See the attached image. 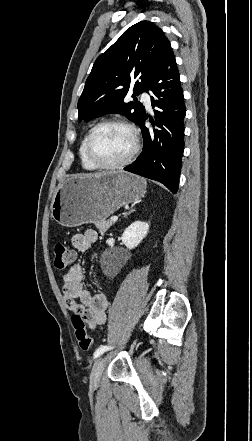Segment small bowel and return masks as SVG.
<instances>
[{
	"instance_id": "1",
	"label": "small bowel",
	"mask_w": 252,
	"mask_h": 441,
	"mask_svg": "<svg viewBox=\"0 0 252 441\" xmlns=\"http://www.w3.org/2000/svg\"><path fill=\"white\" fill-rule=\"evenodd\" d=\"M97 240V232L87 229L71 238L72 246L86 252ZM84 272L80 264L72 265L63 277V298L68 309L79 314L91 330L106 322L108 297L102 293L90 294L84 282ZM79 300V302H77Z\"/></svg>"
}]
</instances>
